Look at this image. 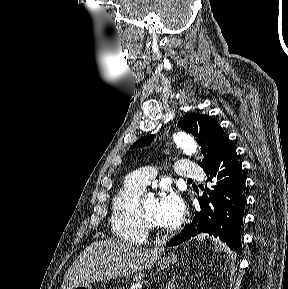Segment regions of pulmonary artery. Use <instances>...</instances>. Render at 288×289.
I'll use <instances>...</instances> for the list:
<instances>
[{
    "label": "pulmonary artery",
    "mask_w": 288,
    "mask_h": 289,
    "mask_svg": "<svg viewBox=\"0 0 288 289\" xmlns=\"http://www.w3.org/2000/svg\"><path fill=\"white\" fill-rule=\"evenodd\" d=\"M176 173L181 178L203 179L204 172L197 165L189 160H179L175 163ZM157 171L151 167L138 169L126 178L131 183L145 189Z\"/></svg>",
    "instance_id": "obj_1"
}]
</instances>
